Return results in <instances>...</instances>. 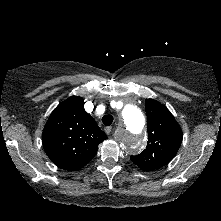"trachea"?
<instances>
[{"mask_svg": "<svg viewBox=\"0 0 221 221\" xmlns=\"http://www.w3.org/2000/svg\"><path fill=\"white\" fill-rule=\"evenodd\" d=\"M102 122L105 126H110L113 122V116L105 115L102 117Z\"/></svg>", "mask_w": 221, "mask_h": 221, "instance_id": "trachea-1", "label": "trachea"}]
</instances>
